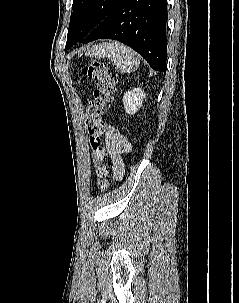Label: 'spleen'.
<instances>
[{"instance_id": "spleen-1", "label": "spleen", "mask_w": 239, "mask_h": 303, "mask_svg": "<svg viewBox=\"0 0 239 303\" xmlns=\"http://www.w3.org/2000/svg\"><path fill=\"white\" fill-rule=\"evenodd\" d=\"M88 56H96L99 59H109L123 72H133L140 64L139 55L131 48L119 42H104L93 46L86 53Z\"/></svg>"}]
</instances>
